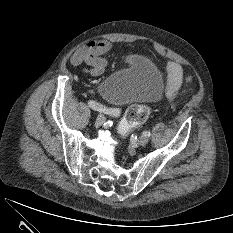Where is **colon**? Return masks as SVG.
Returning <instances> with one entry per match:
<instances>
[{"label":"colon","mask_w":233,"mask_h":233,"mask_svg":"<svg viewBox=\"0 0 233 233\" xmlns=\"http://www.w3.org/2000/svg\"><path fill=\"white\" fill-rule=\"evenodd\" d=\"M150 114V108L147 105H132L130 106L119 125V131L125 135L133 128L144 123Z\"/></svg>","instance_id":"obj_1"}]
</instances>
